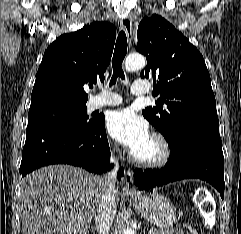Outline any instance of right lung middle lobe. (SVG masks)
<instances>
[{
	"label": "right lung middle lobe",
	"instance_id": "right-lung-middle-lobe-1",
	"mask_svg": "<svg viewBox=\"0 0 241 234\" xmlns=\"http://www.w3.org/2000/svg\"><path fill=\"white\" fill-rule=\"evenodd\" d=\"M95 121L96 118L88 119L86 104L59 100L31 105L28 113V127L44 123L90 127Z\"/></svg>",
	"mask_w": 241,
	"mask_h": 234
}]
</instances>
